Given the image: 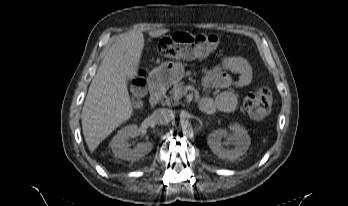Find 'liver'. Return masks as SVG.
I'll use <instances>...</instances> for the list:
<instances>
[{
    "label": "liver",
    "instance_id": "1",
    "mask_svg": "<svg viewBox=\"0 0 348 206\" xmlns=\"http://www.w3.org/2000/svg\"><path fill=\"white\" fill-rule=\"evenodd\" d=\"M168 31H150L149 36L160 37ZM143 47L140 31L118 35L98 67L81 114L83 135L91 153L133 114L127 84L137 76Z\"/></svg>",
    "mask_w": 348,
    "mask_h": 206
}]
</instances>
